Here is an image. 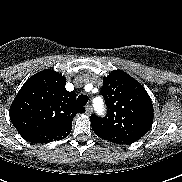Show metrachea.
Masks as SVG:
<instances>
[{
  "label": "trachea",
  "instance_id": "3493384b",
  "mask_svg": "<svg viewBox=\"0 0 182 182\" xmlns=\"http://www.w3.org/2000/svg\"><path fill=\"white\" fill-rule=\"evenodd\" d=\"M88 102V97L85 95H79L77 98V103L81 106H85Z\"/></svg>",
  "mask_w": 182,
  "mask_h": 182
}]
</instances>
